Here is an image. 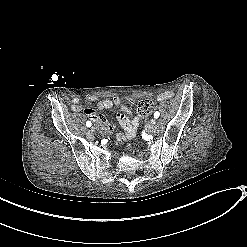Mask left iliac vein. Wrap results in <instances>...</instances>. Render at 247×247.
Here are the masks:
<instances>
[{"label":"left iliac vein","mask_w":247,"mask_h":247,"mask_svg":"<svg viewBox=\"0 0 247 247\" xmlns=\"http://www.w3.org/2000/svg\"><path fill=\"white\" fill-rule=\"evenodd\" d=\"M151 127H154L156 125V120L153 118L150 122Z\"/></svg>","instance_id":"1"}]
</instances>
